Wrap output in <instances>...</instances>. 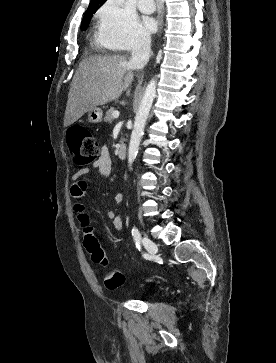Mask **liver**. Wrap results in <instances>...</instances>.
Segmentation results:
<instances>
[{
  "label": "liver",
  "mask_w": 276,
  "mask_h": 363,
  "mask_svg": "<svg viewBox=\"0 0 276 363\" xmlns=\"http://www.w3.org/2000/svg\"><path fill=\"white\" fill-rule=\"evenodd\" d=\"M133 68L126 55L90 56L79 64L68 95L64 126L89 110L118 99L132 84Z\"/></svg>",
  "instance_id": "6515ba94"
}]
</instances>
